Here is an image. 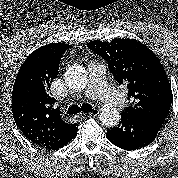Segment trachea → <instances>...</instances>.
Masks as SVG:
<instances>
[{
    "label": "trachea",
    "instance_id": "3493384b",
    "mask_svg": "<svg viewBox=\"0 0 178 178\" xmlns=\"http://www.w3.org/2000/svg\"><path fill=\"white\" fill-rule=\"evenodd\" d=\"M93 107L90 104H82L81 108L78 105H71L68 110H67V114H77L82 112H91L93 109Z\"/></svg>",
    "mask_w": 178,
    "mask_h": 178
}]
</instances>
